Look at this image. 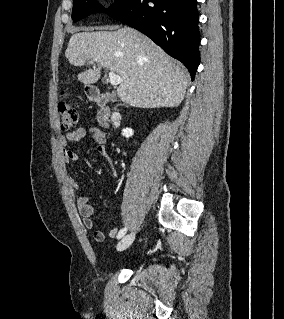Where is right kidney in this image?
<instances>
[{
	"label": "right kidney",
	"instance_id": "obj_1",
	"mask_svg": "<svg viewBox=\"0 0 284 319\" xmlns=\"http://www.w3.org/2000/svg\"><path fill=\"white\" fill-rule=\"evenodd\" d=\"M122 135L125 137H130L133 135V130L131 128H125L122 130Z\"/></svg>",
	"mask_w": 284,
	"mask_h": 319
}]
</instances>
